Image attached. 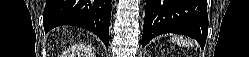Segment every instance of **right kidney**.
Wrapping results in <instances>:
<instances>
[{
    "mask_svg": "<svg viewBox=\"0 0 249 57\" xmlns=\"http://www.w3.org/2000/svg\"><path fill=\"white\" fill-rule=\"evenodd\" d=\"M84 51H85V52H88V53H90V54L92 55V48H91L90 46L84 47ZM66 55H67L68 57H71V56L73 55V53H66Z\"/></svg>",
    "mask_w": 249,
    "mask_h": 57,
    "instance_id": "1",
    "label": "right kidney"
}]
</instances>
